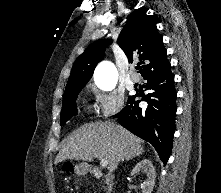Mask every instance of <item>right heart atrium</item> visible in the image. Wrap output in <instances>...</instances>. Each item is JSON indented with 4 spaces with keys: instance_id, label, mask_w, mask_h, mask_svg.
<instances>
[{
    "instance_id": "right-heart-atrium-1",
    "label": "right heart atrium",
    "mask_w": 221,
    "mask_h": 193,
    "mask_svg": "<svg viewBox=\"0 0 221 193\" xmlns=\"http://www.w3.org/2000/svg\"><path fill=\"white\" fill-rule=\"evenodd\" d=\"M94 95L95 108L99 115L104 118L111 117L122 110L125 104L124 95L115 90L101 91L91 88Z\"/></svg>"
}]
</instances>
